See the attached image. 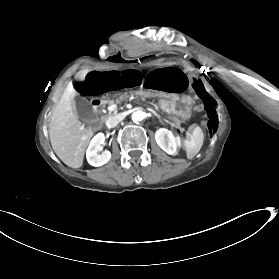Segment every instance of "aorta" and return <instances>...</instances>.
<instances>
[{"label":"aorta","mask_w":279,"mask_h":279,"mask_svg":"<svg viewBox=\"0 0 279 279\" xmlns=\"http://www.w3.org/2000/svg\"><path fill=\"white\" fill-rule=\"evenodd\" d=\"M146 117V113L138 110L132 114V120L134 122L142 121Z\"/></svg>","instance_id":"762f6f07"}]
</instances>
